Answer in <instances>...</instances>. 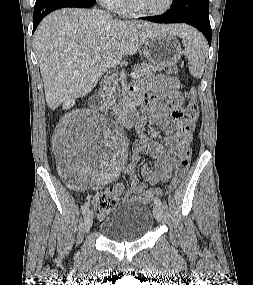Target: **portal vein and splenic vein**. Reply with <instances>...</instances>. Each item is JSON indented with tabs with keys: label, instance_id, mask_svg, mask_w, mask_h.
I'll return each instance as SVG.
<instances>
[{
	"label": "portal vein and splenic vein",
	"instance_id": "18ae733b",
	"mask_svg": "<svg viewBox=\"0 0 253 285\" xmlns=\"http://www.w3.org/2000/svg\"><path fill=\"white\" fill-rule=\"evenodd\" d=\"M130 76H131V78H133V79H136V78H139V77H140L137 72L131 73Z\"/></svg>",
	"mask_w": 253,
	"mask_h": 285
}]
</instances>
